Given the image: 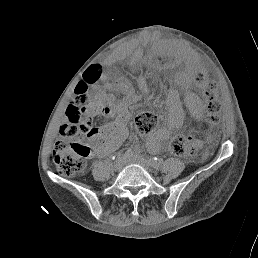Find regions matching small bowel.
Here are the masks:
<instances>
[{
    "label": "small bowel",
    "instance_id": "small-bowel-1",
    "mask_svg": "<svg viewBox=\"0 0 258 258\" xmlns=\"http://www.w3.org/2000/svg\"><path fill=\"white\" fill-rule=\"evenodd\" d=\"M129 54L126 56L129 62L135 61L140 53L139 47L136 44L129 45ZM193 70L196 67L193 66ZM89 93L94 97L96 103L88 106L84 111V119L87 123H90L92 119L98 115L113 117L114 108L109 103L107 97L104 96V89L102 87H96L89 90ZM126 137V129L122 126L110 123L101 129L100 138L102 143L96 147L91 156L104 157L115 151L121 144L122 140ZM157 138L154 137L150 140V147L155 148Z\"/></svg>",
    "mask_w": 258,
    "mask_h": 258
}]
</instances>
